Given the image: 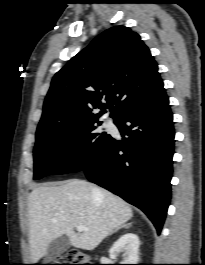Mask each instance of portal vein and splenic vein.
<instances>
[{
	"label": "portal vein and splenic vein",
	"mask_w": 205,
	"mask_h": 265,
	"mask_svg": "<svg viewBox=\"0 0 205 265\" xmlns=\"http://www.w3.org/2000/svg\"><path fill=\"white\" fill-rule=\"evenodd\" d=\"M76 229H77L78 232H83V231L88 230L87 228H85V227L82 226V225H78V226L76 227Z\"/></svg>",
	"instance_id": "portal-vein-and-splenic-vein-1"
}]
</instances>
